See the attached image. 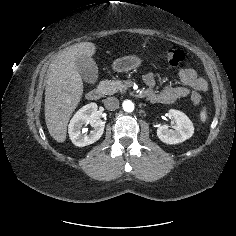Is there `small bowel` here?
<instances>
[{"instance_id":"obj_1","label":"small bowel","mask_w":236,"mask_h":236,"mask_svg":"<svg viewBox=\"0 0 236 236\" xmlns=\"http://www.w3.org/2000/svg\"><path fill=\"white\" fill-rule=\"evenodd\" d=\"M178 75L183 86L166 85L160 91H156L155 75L152 72L144 74L143 81L146 85L144 95L154 103L170 105L177 99L188 96L191 90L205 91L207 89L206 81L192 68L181 67Z\"/></svg>"}]
</instances>
